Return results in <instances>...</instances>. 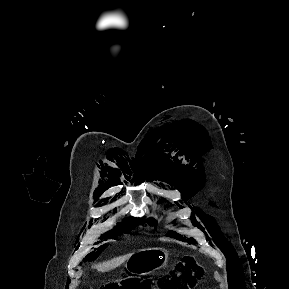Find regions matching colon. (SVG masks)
<instances>
[{
    "instance_id": "5ec220e1",
    "label": "colon",
    "mask_w": 289,
    "mask_h": 289,
    "mask_svg": "<svg viewBox=\"0 0 289 289\" xmlns=\"http://www.w3.org/2000/svg\"><path fill=\"white\" fill-rule=\"evenodd\" d=\"M204 276V270L190 256L178 263L176 269L155 285L150 280L129 278L109 282L100 289H193Z\"/></svg>"
}]
</instances>
